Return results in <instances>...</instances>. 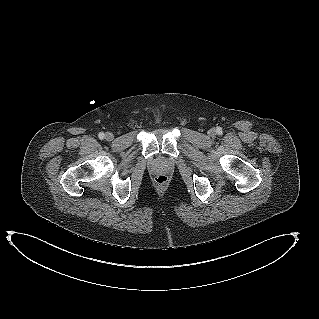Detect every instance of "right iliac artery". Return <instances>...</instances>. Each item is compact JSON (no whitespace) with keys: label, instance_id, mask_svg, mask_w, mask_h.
I'll return each mask as SVG.
<instances>
[{"label":"right iliac artery","instance_id":"1","mask_svg":"<svg viewBox=\"0 0 319 319\" xmlns=\"http://www.w3.org/2000/svg\"><path fill=\"white\" fill-rule=\"evenodd\" d=\"M98 136L100 139H103L105 137V134L103 132H100Z\"/></svg>","mask_w":319,"mask_h":319}]
</instances>
